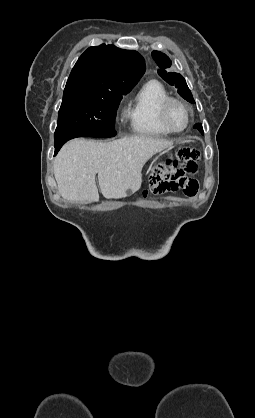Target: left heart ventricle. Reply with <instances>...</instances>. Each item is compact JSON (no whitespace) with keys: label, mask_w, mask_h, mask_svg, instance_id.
I'll return each instance as SVG.
<instances>
[{"label":"left heart ventricle","mask_w":255,"mask_h":418,"mask_svg":"<svg viewBox=\"0 0 255 418\" xmlns=\"http://www.w3.org/2000/svg\"><path fill=\"white\" fill-rule=\"evenodd\" d=\"M169 122L175 129L183 128L187 122L185 109L178 104H173L169 112Z\"/></svg>","instance_id":"left-heart-ventricle-1"}]
</instances>
